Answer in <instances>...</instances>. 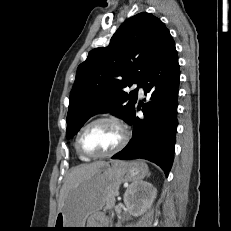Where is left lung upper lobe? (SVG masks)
I'll use <instances>...</instances> for the list:
<instances>
[{"label":"left lung upper lobe","mask_w":231,"mask_h":231,"mask_svg":"<svg viewBox=\"0 0 231 231\" xmlns=\"http://www.w3.org/2000/svg\"><path fill=\"white\" fill-rule=\"evenodd\" d=\"M169 33L165 24L150 13L142 12L126 20L112 36L107 47L91 50L77 68L70 93L66 138H72L93 115L112 112L130 119L137 101L141 78L161 49Z\"/></svg>","instance_id":"obj_1"}]
</instances>
